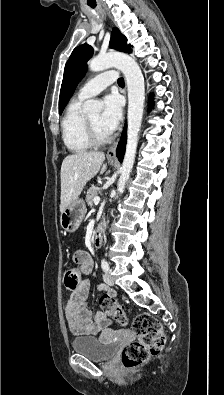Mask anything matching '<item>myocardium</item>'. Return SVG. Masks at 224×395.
<instances>
[{
  "instance_id": "myocardium-1",
  "label": "myocardium",
  "mask_w": 224,
  "mask_h": 395,
  "mask_svg": "<svg viewBox=\"0 0 224 395\" xmlns=\"http://www.w3.org/2000/svg\"><path fill=\"white\" fill-rule=\"evenodd\" d=\"M85 124H86L87 135L92 145H96V146L104 145L111 140L110 134L106 136H101L98 134V132L96 131L94 125L92 124L88 116L85 117Z\"/></svg>"
}]
</instances>
